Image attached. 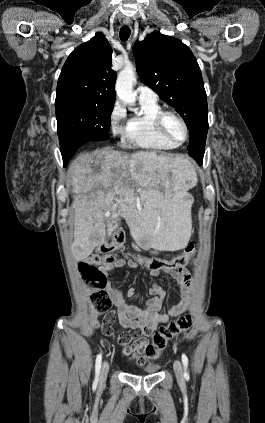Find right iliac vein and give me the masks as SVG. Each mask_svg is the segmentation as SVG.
Here are the masks:
<instances>
[{
  "instance_id": "1",
  "label": "right iliac vein",
  "mask_w": 265,
  "mask_h": 423,
  "mask_svg": "<svg viewBox=\"0 0 265 423\" xmlns=\"http://www.w3.org/2000/svg\"><path fill=\"white\" fill-rule=\"evenodd\" d=\"M108 371H109V364L108 362H104L102 365L101 375H100L101 381H103L106 378Z\"/></svg>"
}]
</instances>
